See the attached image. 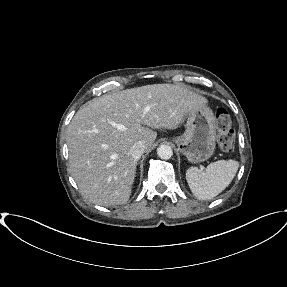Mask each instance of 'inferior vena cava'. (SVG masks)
Segmentation results:
<instances>
[{
    "label": "inferior vena cava",
    "mask_w": 287,
    "mask_h": 287,
    "mask_svg": "<svg viewBox=\"0 0 287 287\" xmlns=\"http://www.w3.org/2000/svg\"><path fill=\"white\" fill-rule=\"evenodd\" d=\"M144 151H145L144 144L142 142H137L131 147L130 154L134 159L137 160L141 157Z\"/></svg>",
    "instance_id": "inferior-vena-cava-1"
}]
</instances>
